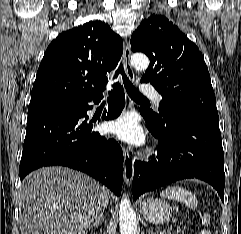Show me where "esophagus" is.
Returning <instances> with one entry per match:
<instances>
[{
    "label": "esophagus",
    "instance_id": "1",
    "mask_svg": "<svg viewBox=\"0 0 241 234\" xmlns=\"http://www.w3.org/2000/svg\"><path fill=\"white\" fill-rule=\"evenodd\" d=\"M130 45L127 40L124 41V68L125 72L128 76V78L134 82L135 81V75L133 68L130 64ZM123 156H124V180L127 185H130L132 182V179L134 177V160L131 157V154L128 150L123 148Z\"/></svg>",
    "mask_w": 241,
    "mask_h": 234
}]
</instances>
